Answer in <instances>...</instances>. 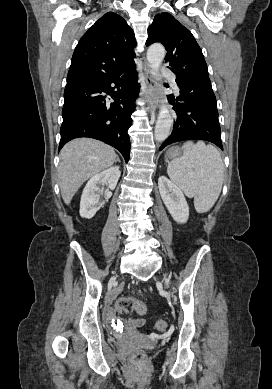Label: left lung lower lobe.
Wrapping results in <instances>:
<instances>
[{"label": "left lung lower lobe", "mask_w": 272, "mask_h": 389, "mask_svg": "<svg viewBox=\"0 0 272 389\" xmlns=\"http://www.w3.org/2000/svg\"><path fill=\"white\" fill-rule=\"evenodd\" d=\"M180 96L173 109L176 113L171 135L160 147L183 140L198 139L214 143L223 150L216 98L209 78L177 79Z\"/></svg>", "instance_id": "0a47b994"}]
</instances>
